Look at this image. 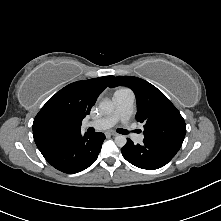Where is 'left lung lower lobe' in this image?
<instances>
[{"label":"left lung lower lobe","mask_w":221,"mask_h":221,"mask_svg":"<svg viewBox=\"0 0 221 221\" xmlns=\"http://www.w3.org/2000/svg\"><path fill=\"white\" fill-rule=\"evenodd\" d=\"M180 145L143 140L135 145L130 139L121 149L123 157L136 167L154 170L166 165L179 151Z\"/></svg>","instance_id":"0a47b994"}]
</instances>
